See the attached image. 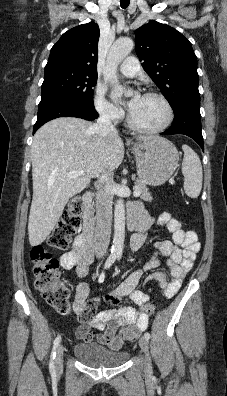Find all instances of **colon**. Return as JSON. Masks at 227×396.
Wrapping results in <instances>:
<instances>
[{
  "instance_id": "1",
  "label": "colon",
  "mask_w": 227,
  "mask_h": 396,
  "mask_svg": "<svg viewBox=\"0 0 227 396\" xmlns=\"http://www.w3.org/2000/svg\"><path fill=\"white\" fill-rule=\"evenodd\" d=\"M83 200L74 196L68 202L60 221L48 239V245L56 250L67 249L71 238L76 234L81 224ZM33 263L35 288L41 293L45 301L62 315L70 311V293L61 279L59 261L54 258L42 245L34 246L30 254ZM141 310L151 315L155 311L154 305L146 303Z\"/></svg>"
}]
</instances>
